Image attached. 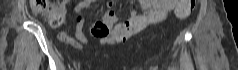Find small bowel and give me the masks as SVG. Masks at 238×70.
Returning a JSON list of instances; mask_svg holds the SVG:
<instances>
[{"mask_svg": "<svg viewBox=\"0 0 238 70\" xmlns=\"http://www.w3.org/2000/svg\"><path fill=\"white\" fill-rule=\"evenodd\" d=\"M94 0H85L80 7H86L92 4ZM179 0H141L143 14L132 11L130 18L126 22L117 24V16L112 10L106 11L101 19L89 27V35L99 39L101 44H116L119 41L128 39L135 33L140 32L146 26L161 22L166 18L169 12L176 9ZM68 0H63L58 11L65 18ZM111 5V4H110ZM60 41L75 47L81 48L89 43L87 36L82 30V20L79 17L73 33L60 32L58 35Z\"/></svg>", "mask_w": 238, "mask_h": 70, "instance_id": "c3829d8e", "label": "small bowel"}]
</instances>
